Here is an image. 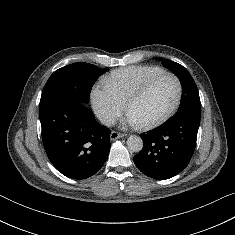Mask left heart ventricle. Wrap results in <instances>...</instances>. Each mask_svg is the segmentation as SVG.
Instances as JSON below:
<instances>
[{
    "label": "left heart ventricle",
    "instance_id": "obj_1",
    "mask_svg": "<svg viewBox=\"0 0 235 235\" xmlns=\"http://www.w3.org/2000/svg\"><path fill=\"white\" fill-rule=\"evenodd\" d=\"M177 85L170 77L157 80L148 92L131 105L129 113L139 124L153 121L166 113L175 101Z\"/></svg>",
    "mask_w": 235,
    "mask_h": 235
}]
</instances>
